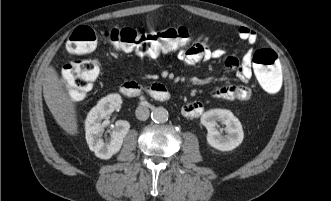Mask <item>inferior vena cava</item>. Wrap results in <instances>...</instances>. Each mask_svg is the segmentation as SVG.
Segmentation results:
<instances>
[{
    "instance_id": "1",
    "label": "inferior vena cava",
    "mask_w": 331,
    "mask_h": 201,
    "mask_svg": "<svg viewBox=\"0 0 331 201\" xmlns=\"http://www.w3.org/2000/svg\"><path fill=\"white\" fill-rule=\"evenodd\" d=\"M135 114H136V118L138 120L144 121V120H147L149 118L150 111L146 107L139 106V107L136 108Z\"/></svg>"
}]
</instances>
